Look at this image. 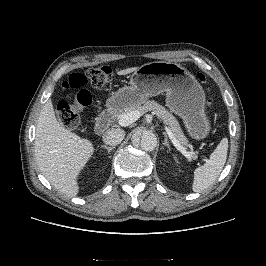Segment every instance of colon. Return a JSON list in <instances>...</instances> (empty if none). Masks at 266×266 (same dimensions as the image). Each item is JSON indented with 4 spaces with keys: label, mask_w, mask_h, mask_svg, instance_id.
<instances>
[{
    "label": "colon",
    "mask_w": 266,
    "mask_h": 266,
    "mask_svg": "<svg viewBox=\"0 0 266 266\" xmlns=\"http://www.w3.org/2000/svg\"><path fill=\"white\" fill-rule=\"evenodd\" d=\"M112 76V70L104 65L71 74L63 84L64 99L57 106V117L61 125L68 129L76 128L80 114L92 103L91 93L86 87L88 82L94 88H104L110 83ZM199 79L205 81L202 74ZM208 102L210 105L211 100Z\"/></svg>",
    "instance_id": "5ec220e1"
}]
</instances>
